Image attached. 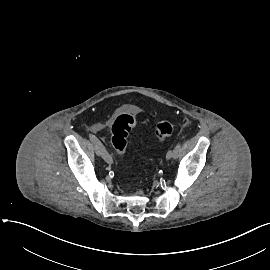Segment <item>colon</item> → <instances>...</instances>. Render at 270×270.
I'll use <instances>...</instances> for the list:
<instances>
[{"mask_svg": "<svg viewBox=\"0 0 270 270\" xmlns=\"http://www.w3.org/2000/svg\"><path fill=\"white\" fill-rule=\"evenodd\" d=\"M135 125V118L130 114L118 115L111 123L110 135L113 148L119 157H123L127 151V137ZM175 130L173 122L169 119H161L155 125V135L158 139L169 137Z\"/></svg>", "mask_w": 270, "mask_h": 270, "instance_id": "obj_1", "label": "colon"}]
</instances>
